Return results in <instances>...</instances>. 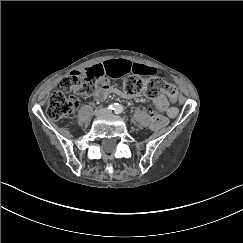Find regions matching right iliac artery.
<instances>
[{
    "label": "right iliac artery",
    "instance_id": "82829eb1",
    "mask_svg": "<svg viewBox=\"0 0 243 243\" xmlns=\"http://www.w3.org/2000/svg\"><path fill=\"white\" fill-rule=\"evenodd\" d=\"M119 107V105L117 103H114V104H110L108 106V109H111V110H117V108Z\"/></svg>",
    "mask_w": 243,
    "mask_h": 243
}]
</instances>
